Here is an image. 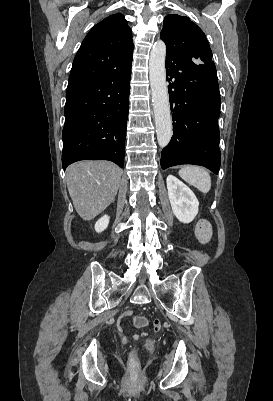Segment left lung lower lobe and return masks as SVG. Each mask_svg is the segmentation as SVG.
<instances>
[{
    "label": "left lung lower lobe",
    "mask_w": 273,
    "mask_h": 401,
    "mask_svg": "<svg viewBox=\"0 0 273 401\" xmlns=\"http://www.w3.org/2000/svg\"><path fill=\"white\" fill-rule=\"evenodd\" d=\"M166 74L173 111V136L161 153V167L195 164L218 173L220 91L214 62L198 63L166 54Z\"/></svg>",
    "instance_id": "obj_1"
}]
</instances>
